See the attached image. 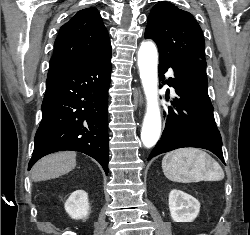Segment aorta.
Here are the masks:
<instances>
[{
  "instance_id": "762f6f07",
  "label": "aorta",
  "mask_w": 250,
  "mask_h": 235,
  "mask_svg": "<svg viewBox=\"0 0 250 235\" xmlns=\"http://www.w3.org/2000/svg\"><path fill=\"white\" fill-rule=\"evenodd\" d=\"M158 53L153 42H143L138 51L140 78L147 99V111L143 121L141 140L145 147L154 146L161 133V116L158 106Z\"/></svg>"
}]
</instances>
